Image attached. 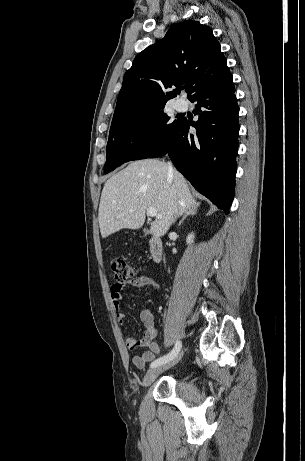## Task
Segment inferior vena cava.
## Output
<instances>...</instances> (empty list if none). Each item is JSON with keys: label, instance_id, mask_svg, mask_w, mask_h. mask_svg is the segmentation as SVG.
<instances>
[{"label": "inferior vena cava", "instance_id": "inferior-vena-cava-1", "mask_svg": "<svg viewBox=\"0 0 305 461\" xmlns=\"http://www.w3.org/2000/svg\"><path fill=\"white\" fill-rule=\"evenodd\" d=\"M168 175H169L170 177L173 176V168H172L171 163H168ZM177 215H178V210L176 209L175 212H174V217L176 218ZM173 221H174V220H173Z\"/></svg>", "mask_w": 305, "mask_h": 461}]
</instances>
